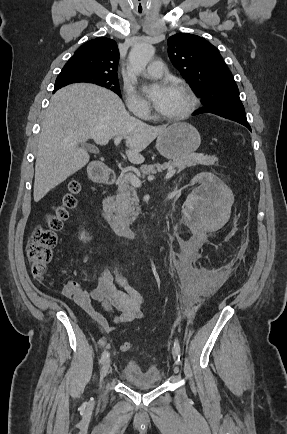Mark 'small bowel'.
Wrapping results in <instances>:
<instances>
[{
	"mask_svg": "<svg viewBox=\"0 0 287 434\" xmlns=\"http://www.w3.org/2000/svg\"><path fill=\"white\" fill-rule=\"evenodd\" d=\"M115 283L123 290L117 289ZM62 294L84 310L105 333L143 315V297L130 285L118 262L101 271L94 288L83 289L78 282L68 281ZM94 303L99 304L104 313L98 311Z\"/></svg>",
	"mask_w": 287,
	"mask_h": 434,
	"instance_id": "obj_1",
	"label": "small bowel"
}]
</instances>
